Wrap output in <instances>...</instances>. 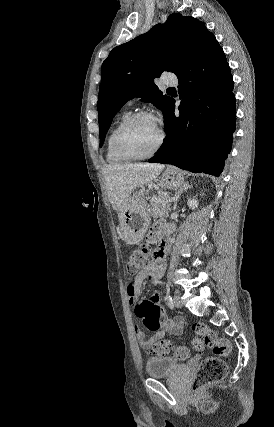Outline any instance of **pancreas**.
I'll return each instance as SVG.
<instances>
[{
    "mask_svg": "<svg viewBox=\"0 0 274 427\" xmlns=\"http://www.w3.org/2000/svg\"><path fill=\"white\" fill-rule=\"evenodd\" d=\"M150 204L152 217H168L171 208L167 196H153Z\"/></svg>",
    "mask_w": 274,
    "mask_h": 427,
    "instance_id": "cf45deb5",
    "label": "pancreas"
}]
</instances>
